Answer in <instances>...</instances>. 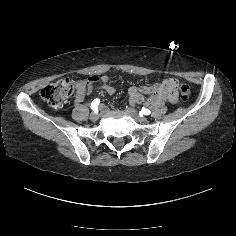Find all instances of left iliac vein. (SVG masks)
Here are the masks:
<instances>
[{
	"mask_svg": "<svg viewBox=\"0 0 236 236\" xmlns=\"http://www.w3.org/2000/svg\"><path fill=\"white\" fill-rule=\"evenodd\" d=\"M127 113L131 117H133L137 122H142V123H146L147 122V118L139 116L138 112L134 108L127 109Z\"/></svg>",
	"mask_w": 236,
	"mask_h": 236,
	"instance_id": "left-iliac-vein-1",
	"label": "left iliac vein"
}]
</instances>
